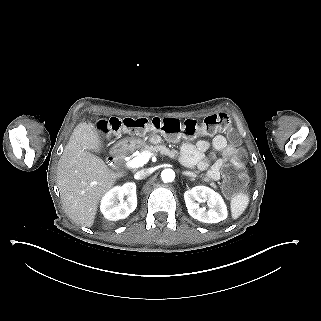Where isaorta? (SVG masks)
Returning <instances> with one entry per match:
<instances>
[{"mask_svg":"<svg viewBox=\"0 0 321 321\" xmlns=\"http://www.w3.org/2000/svg\"><path fill=\"white\" fill-rule=\"evenodd\" d=\"M161 178L164 182H172L175 178V172L172 169H164L161 172Z\"/></svg>","mask_w":321,"mask_h":321,"instance_id":"obj_1","label":"aorta"}]
</instances>
